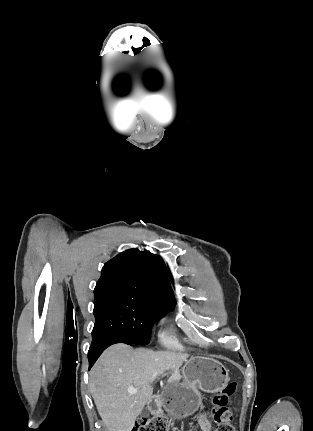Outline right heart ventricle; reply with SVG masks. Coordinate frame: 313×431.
Segmentation results:
<instances>
[{
	"label": "right heart ventricle",
	"instance_id": "right-heart-ventricle-1",
	"mask_svg": "<svg viewBox=\"0 0 313 431\" xmlns=\"http://www.w3.org/2000/svg\"><path fill=\"white\" fill-rule=\"evenodd\" d=\"M163 341L165 344H167L169 346H177L178 345L177 342L172 337H169V336H164Z\"/></svg>",
	"mask_w": 313,
	"mask_h": 431
}]
</instances>
